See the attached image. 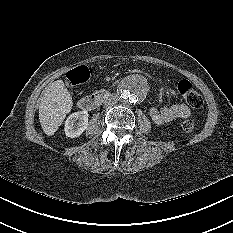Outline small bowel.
Returning <instances> with one entry per match:
<instances>
[{
  "mask_svg": "<svg viewBox=\"0 0 233 233\" xmlns=\"http://www.w3.org/2000/svg\"><path fill=\"white\" fill-rule=\"evenodd\" d=\"M190 115V110L184 103H176L170 106L152 107L150 116L157 125H165L170 122L185 119Z\"/></svg>",
  "mask_w": 233,
  "mask_h": 233,
  "instance_id": "obj_1",
  "label": "small bowel"
}]
</instances>
